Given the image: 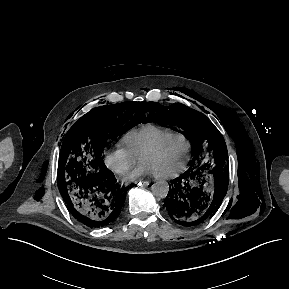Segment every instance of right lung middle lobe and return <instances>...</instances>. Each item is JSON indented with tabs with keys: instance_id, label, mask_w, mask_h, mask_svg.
<instances>
[{
	"instance_id": "1",
	"label": "right lung middle lobe",
	"mask_w": 289,
	"mask_h": 289,
	"mask_svg": "<svg viewBox=\"0 0 289 289\" xmlns=\"http://www.w3.org/2000/svg\"><path fill=\"white\" fill-rule=\"evenodd\" d=\"M140 105V102L132 101L97 107L73 124L65 135L59 155L60 192L69 189L88 173L106 168L102 152L107 140L139 123Z\"/></svg>"
}]
</instances>
